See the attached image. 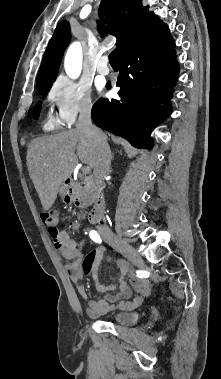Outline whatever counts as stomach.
I'll return each instance as SVG.
<instances>
[{"instance_id": "0dacf381", "label": "stomach", "mask_w": 221, "mask_h": 379, "mask_svg": "<svg viewBox=\"0 0 221 379\" xmlns=\"http://www.w3.org/2000/svg\"><path fill=\"white\" fill-rule=\"evenodd\" d=\"M59 192L62 196H65L66 195V192H67V189H66V186L65 185H62L59 189Z\"/></svg>"}]
</instances>
